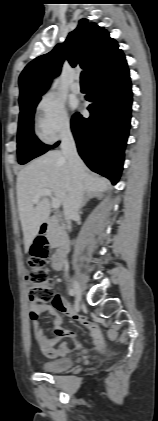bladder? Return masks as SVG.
Returning <instances> with one entry per match:
<instances>
[{"instance_id": "bladder-1", "label": "bladder", "mask_w": 158, "mask_h": 421, "mask_svg": "<svg viewBox=\"0 0 158 421\" xmlns=\"http://www.w3.org/2000/svg\"><path fill=\"white\" fill-rule=\"evenodd\" d=\"M40 366L46 372L58 373L70 369L73 366V360L69 357H61L43 361Z\"/></svg>"}]
</instances>
